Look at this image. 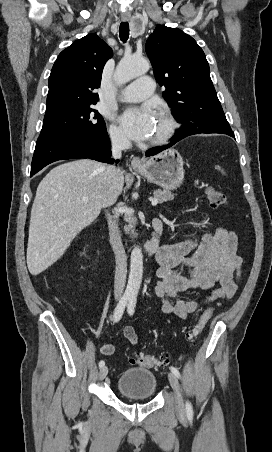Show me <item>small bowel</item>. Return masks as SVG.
Instances as JSON below:
<instances>
[{"mask_svg":"<svg viewBox=\"0 0 272 452\" xmlns=\"http://www.w3.org/2000/svg\"><path fill=\"white\" fill-rule=\"evenodd\" d=\"M237 248V235L224 228L161 247L157 255L160 267L154 294L162 300V312L181 319L195 312L201 303L182 297V293L192 289L210 291L203 303L231 299L243 263ZM123 335L133 345L138 341L130 326L123 329ZM101 352L113 355L115 347L104 344Z\"/></svg>","mask_w":272,"mask_h":452,"instance_id":"1","label":"small bowel"}]
</instances>
